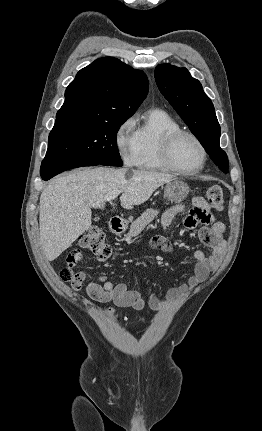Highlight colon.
<instances>
[{"label":"colon","instance_id":"5ec220e1","mask_svg":"<svg viewBox=\"0 0 262 431\" xmlns=\"http://www.w3.org/2000/svg\"><path fill=\"white\" fill-rule=\"evenodd\" d=\"M208 205L218 211L224 207V193L219 185H212L206 193ZM164 242L160 236H155L152 240L154 246H159ZM81 250H86L98 258H108L112 249L106 242L103 233L98 227L92 226L89 231L82 235L78 241V247L67 257L66 267L60 271V277L64 282H73L80 278V274L74 270L81 261Z\"/></svg>","mask_w":262,"mask_h":431}]
</instances>
